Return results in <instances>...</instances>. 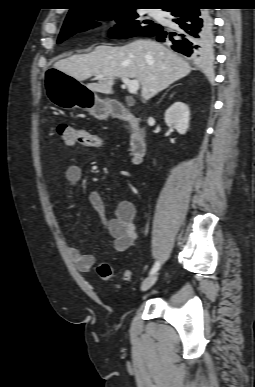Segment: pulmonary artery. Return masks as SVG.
Here are the masks:
<instances>
[{
  "label": "pulmonary artery",
  "mask_w": 255,
  "mask_h": 387,
  "mask_svg": "<svg viewBox=\"0 0 255 387\" xmlns=\"http://www.w3.org/2000/svg\"><path fill=\"white\" fill-rule=\"evenodd\" d=\"M153 16H159V13H157V12H153V13H151Z\"/></svg>",
  "instance_id": "pulmonary-artery-1"
}]
</instances>
